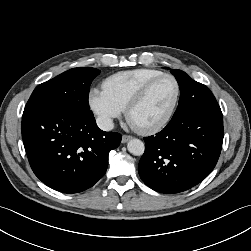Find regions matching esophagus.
I'll return each instance as SVG.
<instances>
[{
	"mask_svg": "<svg viewBox=\"0 0 251 251\" xmlns=\"http://www.w3.org/2000/svg\"><path fill=\"white\" fill-rule=\"evenodd\" d=\"M132 137L130 135H123L121 142L122 143H126L127 141H129Z\"/></svg>",
	"mask_w": 251,
	"mask_h": 251,
	"instance_id": "1",
	"label": "esophagus"
}]
</instances>
